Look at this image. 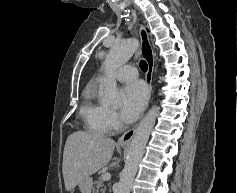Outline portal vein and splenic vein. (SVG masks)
Here are the masks:
<instances>
[{
    "mask_svg": "<svg viewBox=\"0 0 237 193\" xmlns=\"http://www.w3.org/2000/svg\"><path fill=\"white\" fill-rule=\"evenodd\" d=\"M111 178V174L109 172H106L105 174H103L102 176V180L103 181H107V180H110Z\"/></svg>",
    "mask_w": 237,
    "mask_h": 193,
    "instance_id": "1",
    "label": "portal vein and splenic vein"
}]
</instances>
